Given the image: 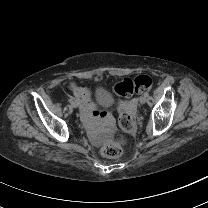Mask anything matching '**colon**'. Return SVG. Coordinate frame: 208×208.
Returning <instances> with one entry per match:
<instances>
[{"label": "colon", "mask_w": 208, "mask_h": 208, "mask_svg": "<svg viewBox=\"0 0 208 208\" xmlns=\"http://www.w3.org/2000/svg\"><path fill=\"white\" fill-rule=\"evenodd\" d=\"M152 84L153 80L150 76L139 74L133 78H125L114 85L113 92L117 98L119 122L125 133L132 134L136 130V125L129 116L128 104L125 100L135 93L148 90ZM125 142V138L118 136L114 141L106 143L102 152L106 158L115 160L120 157L122 153L121 146Z\"/></svg>", "instance_id": "colon-1"}]
</instances>
